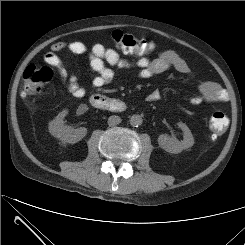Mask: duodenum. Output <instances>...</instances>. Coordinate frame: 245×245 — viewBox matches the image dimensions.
I'll return each instance as SVG.
<instances>
[{"label": "duodenum", "instance_id": "1", "mask_svg": "<svg viewBox=\"0 0 245 245\" xmlns=\"http://www.w3.org/2000/svg\"><path fill=\"white\" fill-rule=\"evenodd\" d=\"M92 106L109 111L122 112L126 110L127 106L124 102L112 98H108L101 94H93L90 97Z\"/></svg>", "mask_w": 245, "mask_h": 245}]
</instances>
